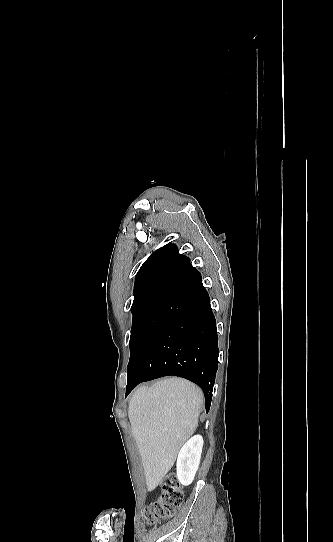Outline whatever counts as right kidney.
<instances>
[{
  "label": "right kidney",
  "instance_id": "right-kidney-1",
  "mask_svg": "<svg viewBox=\"0 0 333 542\" xmlns=\"http://www.w3.org/2000/svg\"><path fill=\"white\" fill-rule=\"evenodd\" d=\"M202 436H193L182 446L176 464L177 478L182 486H190L199 468L203 448Z\"/></svg>",
  "mask_w": 333,
  "mask_h": 542
}]
</instances>
